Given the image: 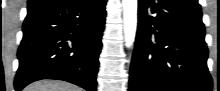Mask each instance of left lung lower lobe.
Segmentation results:
<instances>
[{"instance_id":"obj_1","label":"left lung lower lobe","mask_w":220,"mask_h":91,"mask_svg":"<svg viewBox=\"0 0 220 91\" xmlns=\"http://www.w3.org/2000/svg\"><path fill=\"white\" fill-rule=\"evenodd\" d=\"M197 0H139L129 91H211Z\"/></svg>"}]
</instances>
